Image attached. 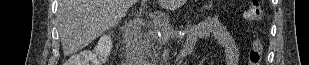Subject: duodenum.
<instances>
[{
  "mask_svg": "<svg viewBox=\"0 0 309 65\" xmlns=\"http://www.w3.org/2000/svg\"><path fill=\"white\" fill-rule=\"evenodd\" d=\"M144 25H145L144 20H134V21H132L122 33V38H121L122 44L125 45V44L132 42L133 39L138 35V33L141 32ZM191 52H192V49L185 48L181 52L179 58L183 59V58L189 56L191 54Z\"/></svg>",
  "mask_w": 309,
  "mask_h": 65,
  "instance_id": "410a0bca",
  "label": "duodenum"
}]
</instances>
